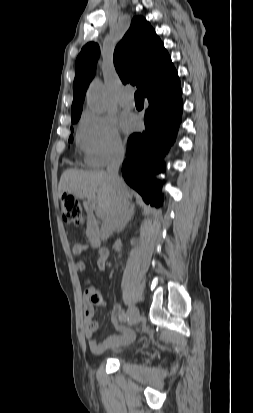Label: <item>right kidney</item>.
Masks as SVG:
<instances>
[{
	"mask_svg": "<svg viewBox=\"0 0 253 413\" xmlns=\"http://www.w3.org/2000/svg\"><path fill=\"white\" fill-rule=\"evenodd\" d=\"M130 243H131V245H133V244L135 243L134 238H133V239H131Z\"/></svg>",
	"mask_w": 253,
	"mask_h": 413,
	"instance_id": "ca27d5eb",
	"label": "right kidney"
}]
</instances>
